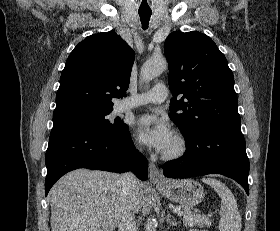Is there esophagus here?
Returning a JSON list of instances; mask_svg holds the SVG:
<instances>
[{
    "label": "esophagus",
    "mask_w": 280,
    "mask_h": 231,
    "mask_svg": "<svg viewBox=\"0 0 280 231\" xmlns=\"http://www.w3.org/2000/svg\"><path fill=\"white\" fill-rule=\"evenodd\" d=\"M149 177L152 181H163L165 179L153 162L149 163Z\"/></svg>",
    "instance_id": "esophagus-1"
}]
</instances>
